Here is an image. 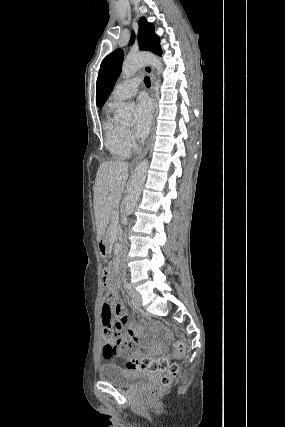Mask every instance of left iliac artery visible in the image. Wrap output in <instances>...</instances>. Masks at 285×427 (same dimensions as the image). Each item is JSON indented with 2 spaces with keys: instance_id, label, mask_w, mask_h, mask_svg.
<instances>
[{
  "instance_id": "44dca946",
  "label": "left iliac artery",
  "mask_w": 285,
  "mask_h": 427,
  "mask_svg": "<svg viewBox=\"0 0 285 427\" xmlns=\"http://www.w3.org/2000/svg\"><path fill=\"white\" fill-rule=\"evenodd\" d=\"M125 287L127 288V289H131L132 287H131V284L130 283H128V282H125Z\"/></svg>"
}]
</instances>
